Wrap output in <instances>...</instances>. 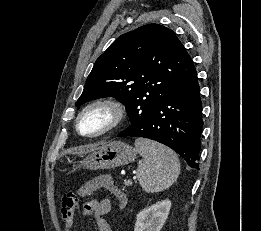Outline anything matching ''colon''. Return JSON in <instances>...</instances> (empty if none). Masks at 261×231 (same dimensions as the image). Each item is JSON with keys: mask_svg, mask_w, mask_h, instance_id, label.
<instances>
[{"mask_svg": "<svg viewBox=\"0 0 261 231\" xmlns=\"http://www.w3.org/2000/svg\"><path fill=\"white\" fill-rule=\"evenodd\" d=\"M111 187L116 188L114 183L111 184ZM94 190H96V184L93 182H88L82 188L83 193L87 195L93 192ZM78 194L74 192H68L64 195L61 208V214L64 221H72L75 215L80 211Z\"/></svg>", "mask_w": 261, "mask_h": 231, "instance_id": "5ec220e1", "label": "colon"}]
</instances>
